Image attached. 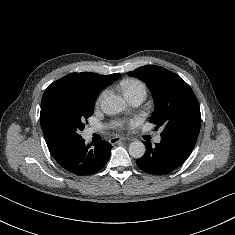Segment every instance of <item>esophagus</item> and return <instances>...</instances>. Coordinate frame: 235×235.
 I'll use <instances>...</instances> for the list:
<instances>
[{"label":"esophagus","mask_w":235,"mask_h":235,"mask_svg":"<svg viewBox=\"0 0 235 235\" xmlns=\"http://www.w3.org/2000/svg\"><path fill=\"white\" fill-rule=\"evenodd\" d=\"M126 139L125 138H121V137H112L109 142L114 145V144H117L119 142H122V141H125Z\"/></svg>","instance_id":"esophagus-1"}]
</instances>
